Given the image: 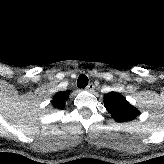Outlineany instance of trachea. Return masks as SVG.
Instances as JSON below:
<instances>
[{
  "label": "trachea",
  "mask_w": 164,
  "mask_h": 164,
  "mask_svg": "<svg viewBox=\"0 0 164 164\" xmlns=\"http://www.w3.org/2000/svg\"><path fill=\"white\" fill-rule=\"evenodd\" d=\"M88 85V77L84 74H81L77 80L78 88H85Z\"/></svg>",
  "instance_id": "1"
}]
</instances>
